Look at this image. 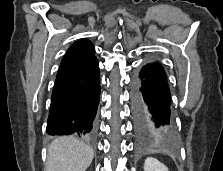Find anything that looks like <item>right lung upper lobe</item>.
<instances>
[{"instance_id":"right-lung-upper-lobe-1","label":"right lung upper lobe","mask_w":223,"mask_h":171,"mask_svg":"<svg viewBox=\"0 0 223 171\" xmlns=\"http://www.w3.org/2000/svg\"><path fill=\"white\" fill-rule=\"evenodd\" d=\"M94 53V46L89 40L75 42L65 53L57 75L88 64L96 58Z\"/></svg>"}]
</instances>
